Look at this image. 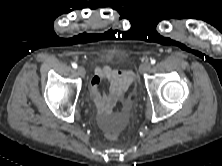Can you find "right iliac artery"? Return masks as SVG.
Wrapping results in <instances>:
<instances>
[{
	"label": "right iliac artery",
	"mask_w": 222,
	"mask_h": 166,
	"mask_svg": "<svg viewBox=\"0 0 222 166\" xmlns=\"http://www.w3.org/2000/svg\"><path fill=\"white\" fill-rule=\"evenodd\" d=\"M72 67H73L74 69H76V68H77V64H76V63H72Z\"/></svg>",
	"instance_id": "right-iliac-artery-1"
}]
</instances>
